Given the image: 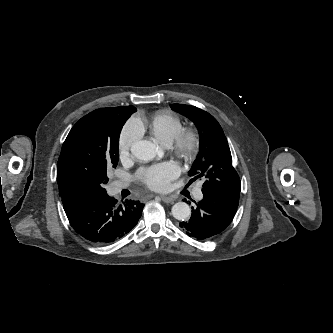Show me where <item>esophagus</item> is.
I'll list each match as a JSON object with an SVG mask.
<instances>
[{"mask_svg":"<svg viewBox=\"0 0 333 333\" xmlns=\"http://www.w3.org/2000/svg\"><path fill=\"white\" fill-rule=\"evenodd\" d=\"M161 199L165 203H172L175 201V199L171 196H161Z\"/></svg>","mask_w":333,"mask_h":333,"instance_id":"esophagus-1","label":"esophagus"}]
</instances>
